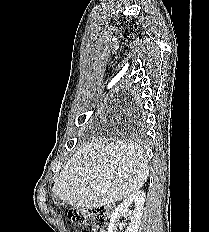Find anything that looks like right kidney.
<instances>
[{"mask_svg": "<svg viewBox=\"0 0 209 232\" xmlns=\"http://www.w3.org/2000/svg\"><path fill=\"white\" fill-rule=\"evenodd\" d=\"M144 202L145 193L141 190H137L128 196L125 200H123V202L118 205V207L112 213L107 232H117V226L119 225L118 221L121 217L130 218V223L126 229V232H138L143 213ZM132 205H134V210L130 211L129 207Z\"/></svg>", "mask_w": 209, "mask_h": 232, "instance_id": "right-kidney-1", "label": "right kidney"}]
</instances>
